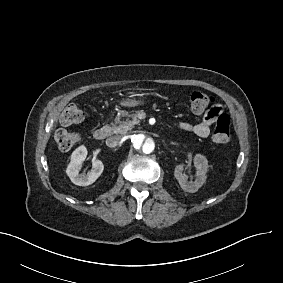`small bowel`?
<instances>
[{
    "mask_svg": "<svg viewBox=\"0 0 283 283\" xmlns=\"http://www.w3.org/2000/svg\"><path fill=\"white\" fill-rule=\"evenodd\" d=\"M229 110V105L225 101H220L218 104L210 102L204 109L203 118L196 124L181 123L182 130L192 132L198 137L207 138L210 135V126L214 120H217L222 114Z\"/></svg>",
    "mask_w": 283,
    "mask_h": 283,
    "instance_id": "1",
    "label": "small bowel"
}]
</instances>
